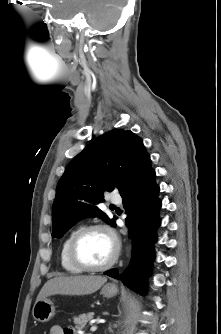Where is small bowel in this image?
Here are the masks:
<instances>
[{
    "label": "small bowel",
    "mask_w": 221,
    "mask_h": 334,
    "mask_svg": "<svg viewBox=\"0 0 221 334\" xmlns=\"http://www.w3.org/2000/svg\"><path fill=\"white\" fill-rule=\"evenodd\" d=\"M49 334H74L73 331H65L59 325H54L51 327Z\"/></svg>",
    "instance_id": "c3829d8e"
}]
</instances>
